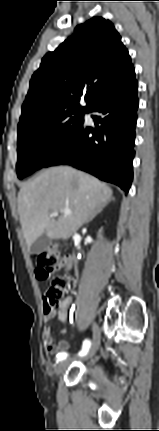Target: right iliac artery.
I'll use <instances>...</instances> for the list:
<instances>
[{
	"instance_id": "right-iliac-artery-1",
	"label": "right iliac artery",
	"mask_w": 159,
	"mask_h": 431,
	"mask_svg": "<svg viewBox=\"0 0 159 431\" xmlns=\"http://www.w3.org/2000/svg\"><path fill=\"white\" fill-rule=\"evenodd\" d=\"M90 346H91V343H90V341L88 340V339H86L84 342H83V346H82V350L79 352V356H85L87 353H88V351H89V349H90ZM68 356V354L66 353V352H62V353H59L58 355H57V362H59V361H62V360H64V359H66V357Z\"/></svg>"
}]
</instances>
